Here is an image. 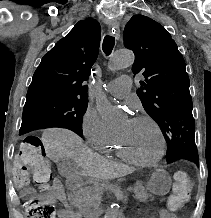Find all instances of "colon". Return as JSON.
<instances>
[{
    "instance_id": "obj_1",
    "label": "colon",
    "mask_w": 211,
    "mask_h": 218,
    "mask_svg": "<svg viewBox=\"0 0 211 218\" xmlns=\"http://www.w3.org/2000/svg\"><path fill=\"white\" fill-rule=\"evenodd\" d=\"M14 181L17 187L24 188L33 180L40 191L45 192L52 183V171L44 142L37 136L24 139L14 158ZM173 195L169 200L172 209L185 204L191 195L192 181L185 171L174 175ZM28 218H56L54 206L42 200H28L25 203Z\"/></svg>"
}]
</instances>
